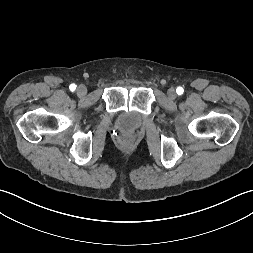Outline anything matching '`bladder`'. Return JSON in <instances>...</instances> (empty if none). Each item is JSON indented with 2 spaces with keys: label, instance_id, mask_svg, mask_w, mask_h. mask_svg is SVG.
Masks as SVG:
<instances>
[{
  "label": "bladder",
  "instance_id": "1",
  "mask_svg": "<svg viewBox=\"0 0 253 253\" xmlns=\"http://www.w3.org/2000/svg\"><path fill=\"white\" fill-rule=\"evenodd\" d=\"M141 117L138 113L133 111H126L120 114L119 124L126 129H133L140 125Z\"/></svg>",
  "mask_w": 253,
  "mask_h": 253
}]
</instances>
